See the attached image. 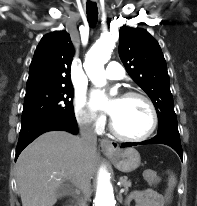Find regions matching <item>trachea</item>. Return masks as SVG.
Wrapping results in <instances>:
<instances>
[{"instance_id": "1", "label": "trachea", "mask_w": 197, "mask_h": 206, "mask_svg": "<svg viewBox=\"0 0 197 206\" xmlns=\"http://www.w3.org/2000/svg\"><path fill=\"white\" fill-rule=\"evenodd\" d=\"M86 9H87V18L92 27L95 26L98 18V8L95 3L92 2H87L86 4Z\"/></svg>"}]
</instances>
